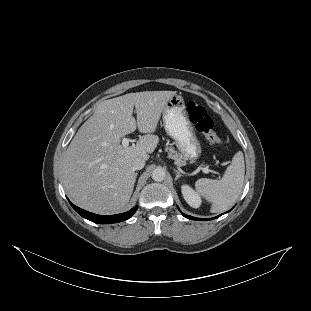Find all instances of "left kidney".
I'll use <instances>...</instances> for the list:
<instances>
[{
  "instance_id": "left-kidney-1",
  "label": "left kidney",
  "mask_w": 311,
  "mask_h": 311,
  "mask_svg": "<svg viewBox=\"0 0 311 311\" xmlns=\"http://www.w3.org/2000/svg\"><path fill=\"white\" fill-rule=\"evenodd\" d=\"M182 193L184 196L185 201L191 206V207H198L200 200L199 197L195 194V192L188 186L182 187Z\"/></svg>"
}]
</instances>
